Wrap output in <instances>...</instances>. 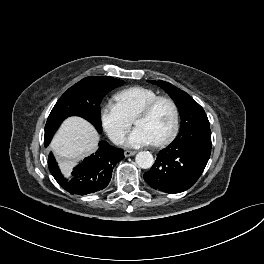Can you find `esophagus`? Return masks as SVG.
Instances as JSON below:
<instances>
[{
  "instance_id": "obj_1",
  "label": "esophagus",
  "mask_w": 264,
  "mask_h": 264,
  "mask_svg": "<svg viewBox=\"0 0 264 264\" xmlns=\"http://www.w3.org/2000/svg\"><path fill=\"white\" fill-rule=\"evenodd\" d=\"M135 154H136V151L126 150V151L124 152L125 157H130V156H133V155H135Z\"/></svg>"
}]
</instances>
